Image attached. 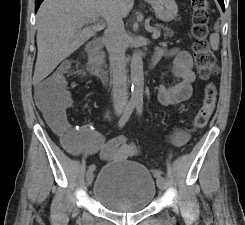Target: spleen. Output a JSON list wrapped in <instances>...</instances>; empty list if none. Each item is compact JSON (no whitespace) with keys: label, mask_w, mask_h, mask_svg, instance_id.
Here are the masks:
<instances>
[{"label":"spleen","mask_w":245,"mask_h":225,"mask_svg":"<svg viewBox=\"0 0 245 225\" xmlns=\"http://www.w3.org/2000/svg\"><path fill=\"white\" fill-rule=\"evenodd\" d=\"M219 29L220 25L219 22H217L214 26L215 33L210 36V44L213 50H218L219 47Z\"/></svg>","instance_id":"1"}]
</instances>
